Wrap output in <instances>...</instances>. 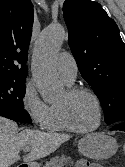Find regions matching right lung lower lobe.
I'll list each match as a JSON object with an SVG mask.
<instances>
[{
  "label": "right lung lower lobe",
  "mask_w": 125,
  "mask_h": 167,
  "mask_svg": "<svg viewBox=\"0 0 125 167\" xmlns=\"http://www.w3.org/2000/svg\"><path fill=\"white\" fill-rule=\"evenodd\" d=\"M0 116L22 123L31 122V118L24 108L15 107L5 102H0Z\"/></svg>",
  "instance_id": "1"
}]
</instances>
